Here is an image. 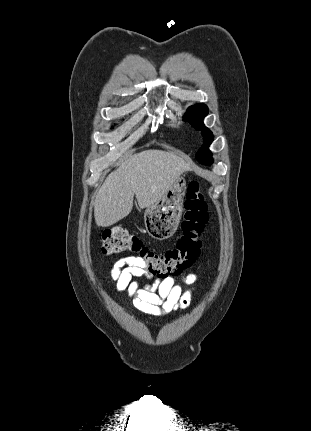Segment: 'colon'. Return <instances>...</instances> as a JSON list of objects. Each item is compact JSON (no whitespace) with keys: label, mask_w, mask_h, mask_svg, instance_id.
<instances>
[{"label":"colon","mask_w":311,"mask_h":431,"mask_svg":"<svg viewBox=\"0 0 311 431\" xmlns=\"http://www.w3.org/2000/svg\"><path fill=\"white\" fill-rule=\"evenodd\" d=\"M208 220V206L200 183L192 180L187 185L184 213L181 223L182 234L174 247L165 251L150 249L136 235L123 228L106 230L102 235V252L105 255L134 252L147 264L152 276L169 278L180 275L198 258L201 248V234Z\"/></svg>","instance_id":"colon-1"}]
</instances>
